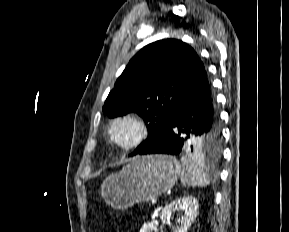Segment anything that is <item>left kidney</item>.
<instances>
[{
  "mask_svg": "<svg viewBox=\"0 0 289 232\" xmlns=\"http://www.w3.org/2000/svg\"><path fill=\"white\" fill-rule=\"evenodd\" d=\"M198 207V200L195 197H182L166 205L160 216L169 218L175 211L180 212L182 216L178 219V226L174 229V232H187L198 214ZM153 230H155V224L147 222L142 226L140 232H152Z\"/></svg>",
  "mask_w": 289,
  "mask_h": 232,
  "instance_id": "obj_1",
  "label": "left kidney"
}]
</instances>
